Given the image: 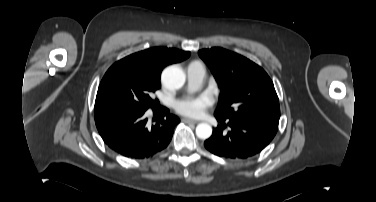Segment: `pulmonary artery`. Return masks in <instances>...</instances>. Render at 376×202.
<instances>
[{"mask_svg":"<svg viewBox=\"0 0 376 202\" xmlns=\"http://www.w3.org/2000/svg\"><path fill=\"white\" fill-rule=\"evenodd\" d=\"M206 76L205 66L199 62H192L187 68V77L190 88H198Z\"/></svg>","mask_w":376,"mask_h":202,"instance_id":"e3ab8cb5","label":"pulmonary artery"}]
</instances>
